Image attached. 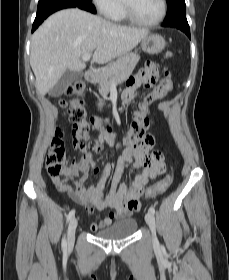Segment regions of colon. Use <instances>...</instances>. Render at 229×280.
Instances as JSON below:
<instances>
[{
	"mask_svg": "<svg viewBox=\"0 0 229 280\" xmlns=\"http://www.w3.org/2000/svg\"><path fill=\"white\" fill-rule=\"evenodd\" d=\"M171 52L165 54V58H170ZM165 78L161 83L163 91H170L172 88V82L170 79V73L164 71ZM66 96L70 98L68 117L73 125V142L85 152H99L101 145L98 140L89 137V132L95 121L87 118L86 110L84 107V98L86 95V83L83 79H77L68 85L65 91ZM150 98V97H148ZM61 106H66L65 100L60 102ZM149 116L141 113L140 111L134 114L133 120L130 124L128 133L126 134L125 141L129 146H136L139 142L143 141L147 136V129L151 124ZM104 128L109 129L108 124L103 125ZM68 160V154L66 151V143L61 136V133H57L50 144V150L47 155L46 168L49 176L58 182L60 190L65 192H75L76 188L73 184L66 181L61 175V169L64 167ZM144 166L149 171L159 174L164 170V155L161 151L155 150L148 154L144 159ZM172 183V176L168 175L155 185L142 189L140 194H146L151 197L156 194L164 192ZM131 206L135 208L140 207L139 199H133L130 202Z\"/></svg>",
	"mask_w": 229,
	"mask_h": 280,
	"instance_id": "colon-1",
	"label": "colon"
}]
</instances>
